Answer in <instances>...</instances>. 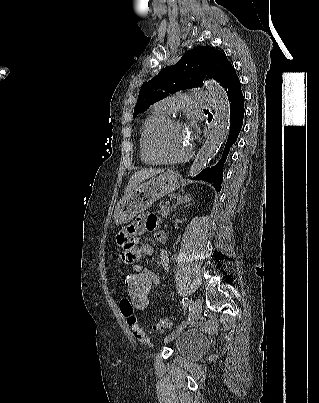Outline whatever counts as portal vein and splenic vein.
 Here are the masks:
<instances>
[{"label": "portal vein and splenic vein", "mask_w": 319, "mask_h": 403, "mask_svg": "<svg viewBox=\"0 0 319 403\" xmlns=\"http://www.w3.org/2000/svg\"><path fill=\"white\" fill-rule=\"evenodd\" d=\"M165 204H166V205H170V201H167Z\"/></svg>", "instance_id": "obj_1"}]
</instances>
